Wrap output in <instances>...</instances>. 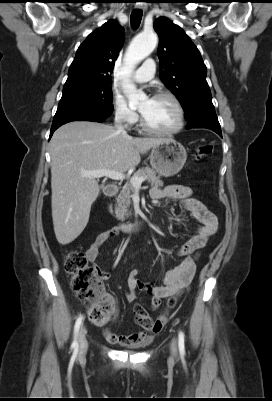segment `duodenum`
I'll return each instance as SVG.
<instances>
[{
	"instance_id": "obj_1",
	"label": "duodenum",
	"mask_w": 272,
	"mask_h": 401,
	"mask_svg": "<svg viewBox=\"0 0 272 401\" xmlns=\"http://www.w3.org/2000/svg\"><path fill=\"white\" fill-rule=\"evenodd\" d=\"M119 191V188L115 184H109L105 187V194L108 197L115 196ZM143 227V222L136 223H123L120 225V229L124 232H135L140 230Z\"/></svg>"
}]
</instances>
